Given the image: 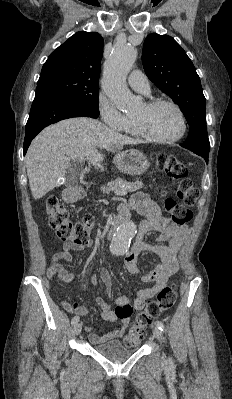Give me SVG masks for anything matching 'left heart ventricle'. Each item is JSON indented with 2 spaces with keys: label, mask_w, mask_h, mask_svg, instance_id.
Returning <instances> with one entry per match:
<instances>
[{
  "label": "left heart ventricle",
  "mask_w": 232,
  "mask_h": 399,
  "mask_svg": "<svg viewBox=\"0 0 232 399\" xmlns=\"http://www.w3.org/2000/svg\"><path fill=\"white\" fill-rule=\"evenodd\" d=\"M133 118L140 120L146 131L157 138L175 137L182 127L178 112L170 105H160L153 109L142 105Z\"/></svg>",
  "instance_id": "obj_1"
}]
</instances>
